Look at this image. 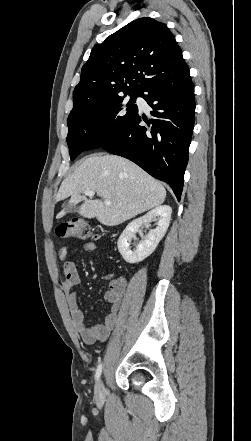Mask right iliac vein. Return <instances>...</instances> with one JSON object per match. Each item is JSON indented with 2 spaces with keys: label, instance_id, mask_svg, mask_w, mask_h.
Listing matches in <instances>:
<instances>
[{
  "label": "right iliac vein",
  "instance_id": "right-iliac-vein-1",
  "mask_svg": "<svg viewBox=\"0 0 251 441\" xmlns=\"http://www.w3.org/2000/svg\"><path fill=\"white\" fill-rule=\"evenodd\" d=\"M104 394H105V390H104L103 382L102 380H98V382L95 385V396L98 400H103Z\"/></svg>",
  "mask_w": 251,
  "mask_h": 441
}]
</instances>
